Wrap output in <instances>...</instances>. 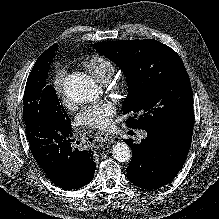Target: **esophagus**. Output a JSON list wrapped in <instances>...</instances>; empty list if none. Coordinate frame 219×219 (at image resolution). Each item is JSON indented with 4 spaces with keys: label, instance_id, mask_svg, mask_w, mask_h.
I'll list each match as a JSON object with an SVG mask.
<instances>
[{
    "label": "esophagus",
    "instance_id": "1",
    "mask_svg": "<svg viewBox=\"0 0 219 219\" xmlns=\"http://www.w3.org/2000/svg\"><path fill=\"white\" fill-rule=\"evenodd\" d=\"M96 137L98 138V140H100L101 142H105V141H111L112 140V136L106 132L103 131H98L96 133Z\"/></svg>",
    "mask_w": 219,
    "mask_h": 219
}]
</instances>
